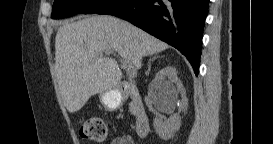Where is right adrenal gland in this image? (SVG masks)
<instances>
[{"label":"right adrenal gland","instance_id":"right-adrenal-gland-1","mask_svg":"<svg viewBox=\"0 0 273 144\" xmlns=\"http://www.w3.org/2000/svg\"><path fill=\"white\" fill-rule=\"evenodd\" d=\"M157 57H158V56H155V57H153L152 59L149 60V62H148V70H147L146 74H148V73L150 72L151 61H153V60L156 59Z\"/></svg>","mask_w":273,"mask_h":144}]
</instances>
